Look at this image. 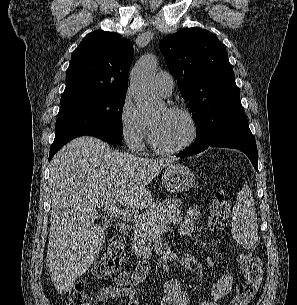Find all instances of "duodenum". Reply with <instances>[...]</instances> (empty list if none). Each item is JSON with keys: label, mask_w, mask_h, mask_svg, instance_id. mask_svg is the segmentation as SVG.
Returning <instances> with one entry per match:
<instances>
[{"label": "duodenum", "mask_w": 297, "mask_h": 305, "mask_svg": "<svg viewBox=\"0 0 297 305\" xmlns=\"http://www.w3.org/2000/svg\"><path fill=\"white\" fill-rule=\"evenodd\" d=\"M117 229L124 236H128L131 232L130 225L125 221L118 222Z\"/></svg>", "instance_id": "duodenum-1"}]
</instances>
